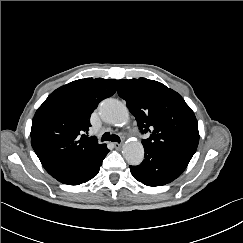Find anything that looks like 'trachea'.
I'll return each mask as SVG.
<instances>
[{
    "mask_svg": "<svg viewBox=\"0 0 243 243\" xmlns=\"http://www.w3.org/2000/svg\"><path fill=\"white\" fill-rule=\"evenodd\" d=\"M102 141H112V142H117L120 143V138L118 135L115 134H110L109 132H105L102 137H101Z\"/></svg>",
    "mask_w": 243,
    "mask_h": 243,
    "instance_id": "1",
    "label": "trachea"
}]
</instances>
